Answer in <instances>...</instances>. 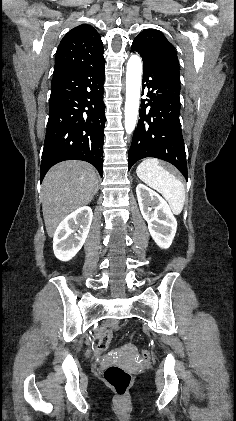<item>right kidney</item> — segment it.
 <instances>
[{
    "label": "right kidney",
    "mask_w": 236,
    "mask_h": 421,
    "mask_svg": "<svg viewBox=\"0 0 236 421\" xmlns=\"http://www.w3.org/2000/svg\"><path fill=\"white\" fill-rule=\"evenodd\" d=\"M92 208L80 206L57 227L53 251L59 261H70L83 247L92 223Z\"/></svg>",
    "instance_id": "ca27d5eb"
}]
</instances>
